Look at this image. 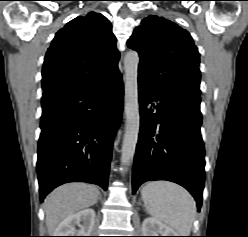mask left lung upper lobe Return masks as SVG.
I'll return each instance as SVG.
<instances>
[{
    "label": "left lung upper lobe",
    "mask_w": 248,
    "mask_h": 237,
    "mask_svg": "<svg viewBox=\"0 0 248 237\" xmlns=\"http://www.w3.org/2000/svg\"><path fill=\"white\" fill-rule=\"evenodd\" d=\"M127 44L140 56L138 79L165 94L200 97L199 52L186 30L150 15L135 28Z\"/></svg>",
    "instance_id": "obj_1"
}]
</instances>
